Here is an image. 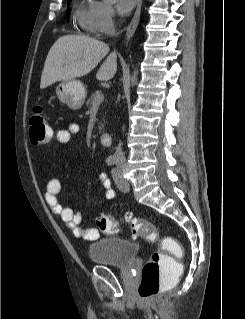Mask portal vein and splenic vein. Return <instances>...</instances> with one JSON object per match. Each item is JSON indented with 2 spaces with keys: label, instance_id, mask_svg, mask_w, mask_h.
Listing matches in <instances>:
<instances>
[{
  "label": "portal vein and splenic vein",
  "instance_id": "portal-vein-and-splenic-vein-1",
  "mask_svg": "<svg viewBox=\"0 0 245 319\" xmlns=\"http://www.w3.org/2000/svg\"><path fill=\"white\" fill-rule=\"evenodd\" d=\"M104 100V93H100L96 96V98L94 99L92 105L95 106H99L102 101Z\"/></svg>",
  "mask_w": 245,
  "mask_h": 319
}]
</instances>
